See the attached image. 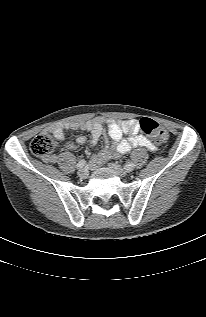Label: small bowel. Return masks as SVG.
I'll return each mask as SVG.
<instances>
[{
    "instance_id": "obj_1",
    "label": "small bowel",
    "mask_w": 206,
    "mask_h": 317,
    "mask_svg": "<svg viewBox=\"0 0 206 317\" xmlns=\"http://www.w3.org/2000/svg\"><path fill=\"white\" fill-rule=\"evenodd\" d=\"M105 124L108 126V134L110 138L114 141V148H106L99 154L95 155L91 159L92 166H98L109 158L119 157L135 147H143L150 151H155L157 149L156 145L141 133L140 124L135 119L106 121L103 118L98 117L90 121L72 123L69 127L73 130L90 132L89 139L85 136H80L77 138V143L80 145L89 143L91 146H94L104 134ZM49 131L57 140L61 141L64 139V130L62 127H52ZM124 134L128 135V137L123 138ZM66 148L73 150L75 148V144L68 142L66 144ZM51 161H56V158L53 157Z\"/></svg>"
}]
</instances>
